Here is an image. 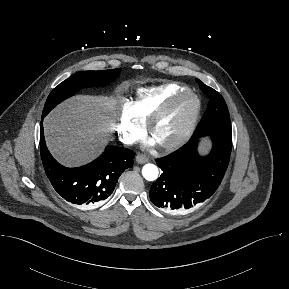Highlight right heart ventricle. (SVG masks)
<instances>
[{
	"instance_id": "e07e8e85",
	"label": "right heart ventricle",
	"mask_w": 289,
	"mask_h": 289,
	"mask_svg": "<svg viewBox=\"0 0 289 289\" xmlns=\"http://www.w3.org/2000/svg\"><path fill=\"white\" fill-rule=\"evenodd\" d=\"M185 88L179 83H166L138 89L134 101L131 102L136 117L143 123L147 122L149 116L167 98Z\"/></svg>"
}]
</instances>
